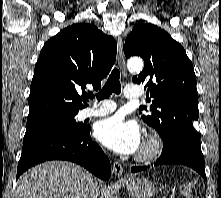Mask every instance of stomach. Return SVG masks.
Returning a JSON list of instances; mask_svg holds the SVG:
<instances>
[{
	"instance_id": "stomach-1",
	"label": "stomach",
	"mask_w": 221,
	"mask_h": 198,
	"mask_svg": "<svg viewBox=\"0 0 221 198\" xmlns=\"http://www.w3.org/2000/svg\"><path fill=\"white\" fill-rule=\"evenodd\" d=\"M125 184L132 198H151L156 193L153 183L144 178H130Z\"/></svg>"
}]
</instances>
